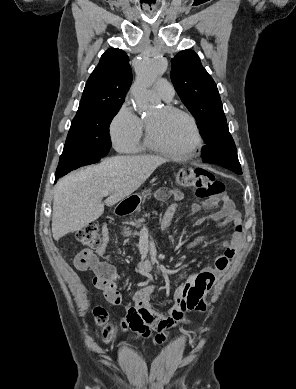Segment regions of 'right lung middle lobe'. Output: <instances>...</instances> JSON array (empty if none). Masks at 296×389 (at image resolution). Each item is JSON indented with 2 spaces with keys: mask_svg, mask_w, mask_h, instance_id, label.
<instances>
[{
  "mask_svg": "<svg viewBox=\"0 0 296 389\" xmlns=\"http://www.w3.org/2000/svg\"><path fill=\"white\" fill-rule=\"evenodd\" d=\"M121 106L73 119L56 171L98 162L110 150L109 125Z\"/></svg>",
  "mask_w": 296,
  "mask_h": 389,
  "instance_id": "obj_1",
  "label": "right lung middle lobe"
}]
</instances>
